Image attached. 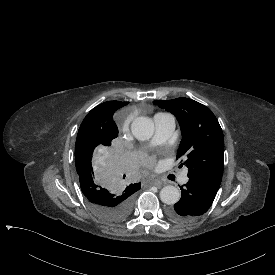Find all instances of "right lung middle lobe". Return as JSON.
Here are the masks:
<instances>
[{
    "mask_svg": "<svg viewBox=\"0 0 275 275\" xmlns=\"http://www.w3.org/2000/svg\"><path fill=\"white\" fill-rule=\"evenodd\" d=\"M117 135L118 130L104 135L81 124L75 145L81 192L98 215L111 221L129 215L136 192L125 189L129 165Z\"/></svg>",
    "mask_w": 275,
    "mask_h": 275,
    "instance_id": "1",
    "label": "right lung middle lobe"
}]
</instances>
